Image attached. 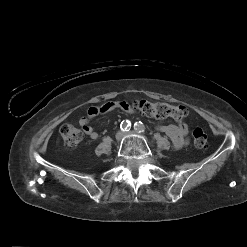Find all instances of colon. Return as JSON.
<instances>
[{"label": "colon", "mask_w": 247, "mask_h": 247, "mask_svg": "<svg viewBox=\"0 0 247 247\" xmlns=\"http://www.w3.org/2000/svg\"><path fill=\"white\" fill-rule=\"evenodd\" d=\"M135 107L146 116L165 119L173 118L182 120L187 116V109L181 105H170L164 102H154L146 99L135 102ZM60 134L64 146L68 149H73L83 139V133L73 125L64 124L60 128ZM193 141L196 147L203 148L207 144V135L201 128H195L192 133Z\"/></svg>", "instance_id": "5ec220e1"}]
</instances>
